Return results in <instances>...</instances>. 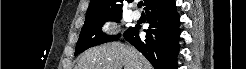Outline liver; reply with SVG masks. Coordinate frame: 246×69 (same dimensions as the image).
<instances>
[{"instance_id":"6515ba94","label":"liver","mask_w":246,"mask_h":69,"mask_svg":"<svg viewBox=\"0 0 246 69\" xmlns=\"http://www.w3.org/2000/svg\"><path fill=\"white\" fill-rule=\"evenodd\" d=\"M152 69L151 64L133 47L119 42L87 50L75 69Z\"/></svg>"}]
</instances>
